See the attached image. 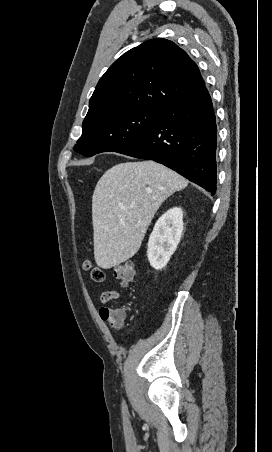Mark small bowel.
Returning a JSON list of instances; mask_svg holds the SVG:
<instances>
[{
    "mask_svg": "<svg viewBox=\"0 0 272 452\" xmlns=\"http://www.w3.org/2000/svg\"><path fill=\"white\" fill-rule=\"evenodd\" d=\"M102 301L104 303L117 299L119 293L116 291H106L102 294ZM100 316L103 320L107 321L111 329L118 330L125 324L126 312L120 309H112L107 306L100 308Z\"/></svg>",
    "mask_w": 272,
    "mask_h": 452,
    "instance_id": "obj_1",
    "label": "small bowel"
}]
</instances>
